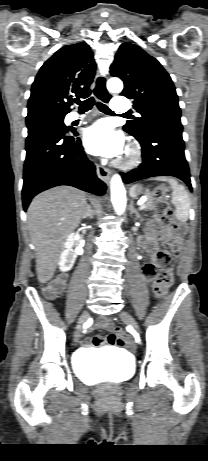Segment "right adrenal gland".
Returning a JSON list of instances; mask_svg holds the SVG:
<instances>
[{"instance_id":"obj_1","label":"right adrenal gland","mask_w":208,"mask_h":461,"mask_svg":"<svg viewBox=\"0 0 208 461\" xmlns=\"http://www.w3.org/2000/svg\"><path fill=\"white\" fill-rule=\"evenodd\" d=\"M94 217V212L90 205H88V213L83 217V219L89 218L92 219Z\"/></svg>"}]
</instances>
